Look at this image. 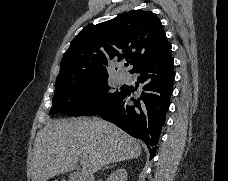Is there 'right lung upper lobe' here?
I'll return each instance as SVG.
<instances>
[{"label": "right lung upper lobe", "mask_w": 228, "mask_h": 181, "mask_svg": "<svg viewBox=\"0 0 228 181\" xmlns=\"http://www.w3.org/2000/svg\"><path fill=\"white\" fill-rule=\"evenodd\" d=\"M170 46L160 20L151 11L133 10L90 24L64 54L56 85L108 76L106 66L115 56L130 62L134 71Z\"/></svg>", "instance_id": "right-lung-upper-lobe-1"}]
</instances>
